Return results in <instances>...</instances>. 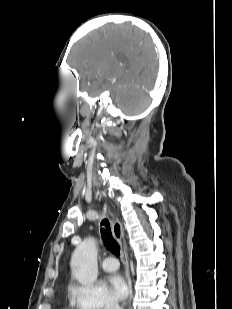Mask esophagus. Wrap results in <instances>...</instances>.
Listing matches in <instances>:
<instances>
[{"instance_id": "obj_1", "label": "esophagus", "mask_w": 232, "mask_h": 309, "mask_svg": "<svg viewBox=\"0 0 232 309\" xmlns=\"http://www.w3.org/2000/svg\"><path fill=\"white\" fill-rule=\"evenodd\" d=\"M112 232L115 239L120 243L122 257L125 264V272H126V280L129 287V296H128V303H131L133 290H132V280L130 276V268H129V259L127 255V247L124 239V230L122 224L119 221H114L112 224Z\"/></svg>"}]
</instances>
